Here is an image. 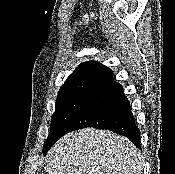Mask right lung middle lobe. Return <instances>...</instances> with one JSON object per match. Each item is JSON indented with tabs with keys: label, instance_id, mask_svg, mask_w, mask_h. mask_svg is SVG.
I'll return each instance as SVG.
<instances>
[{
	"label": "right lung middle lobe",
	"instance_id": "obj_1",
	"mask_svg": "<svg viewBox=\"0 0 175 174\" xmlns=\"http://www.w3.org/2000/svg\"><path fill=\"white\" fill-rule=\"evenodd\" d=\"M88 95L89 93H71L57 97L55 112L51 119L49 136L45 142L44 148L53 145L61 136H63L70 121Z\"/></svg>",
	"mask_w": 175,
	"mask_h": 174
}]
</instances>
